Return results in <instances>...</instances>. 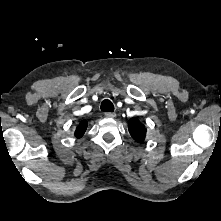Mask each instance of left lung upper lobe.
Masks as SVG:
<instances>
[{
	"label": "left lung upper lobe",
	"mask_w": 221,
	"mask_h": 221,
	"mask_svg": "<svg viewBox=\"0 0 221 221\" xmlns=\"http://www.w3.org/2000/svg\"><path fill=\"white\" fill-rule=\"evenodd\" d=\"M128 129L132 138L138 142L142 143L146 136L145 126L136 118H131L128 122Z\"/></svg>",
	"instance_id": "obj_1"
}]
</instances>
